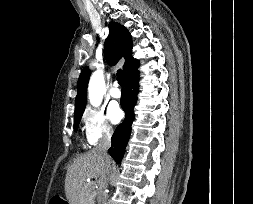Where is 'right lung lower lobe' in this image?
Wrapping results in <instances>:
<instances>
[{"label": "right lung lower lobe", "mask_w": 253, "mask_h": 204, "mask_svg": "<svg viewBox=\"0 0 253 204\" xmlns=\"http://www.w3.org/2000/svg\"><path fill=\"white\" fill-rule=\"evenodd\" d=\"M138 66L139 62L125 74L126 87L125 90L122 91L121 106L125 111L126 117L116 128L111 138L112 145L108 150V153L117 163H120L124 156L128 138L131 134V124L134 119L133 108L137 101V92L139 88Z\"/></svg>", "instance_id": "1"}]
</instances>
